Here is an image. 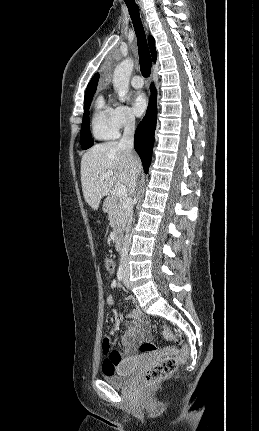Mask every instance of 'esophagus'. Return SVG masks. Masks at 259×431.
<instances>
[{"mask_svg":"<svg viewBox=\"0 0 259 431\" xmlns=\"http://www.w3.org/2000/svg\"><path fill=\"white\" fill-rule=\"evenodd\" d=\"M151 82H152V77H151V79L149 80V84H151Z\"/></svg>","mask_w":259,"mask_h":431,"instance_id":"1","label":"esophagus"}]
</instances>
